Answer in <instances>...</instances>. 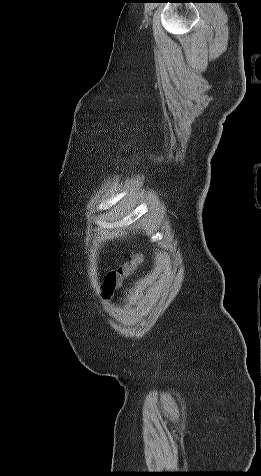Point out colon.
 <instances>
[{"label":"colon","mask_w":261,"mask_h":476,"mask_svg":"<svg viewBox=\"0 0 261 476\" xmlns=\"http://www.w3.org/2000/svg\"><path fill=\"white\" fill-rule=\"evenodd\" d=\"M139 262V257H134L129 264H126L119 271L110 272L105 279L103 292L105 296H110L112 291L118 286L122 276H128L132 272L134 266Z\"/></svg>","instance_id":"1"}]
</instances>
